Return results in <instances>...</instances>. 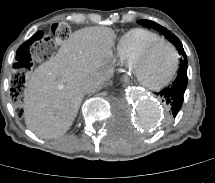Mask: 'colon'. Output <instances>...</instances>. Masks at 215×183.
Masks as SVG:
<instances>
[{
    "label": "colon",
    "instance_id": "5ec220e1",
    "mask_svg": "<svg viewBox=\"0 0 215 183\" xmlns=\"http://www.w3.org/2000/svg\"><path fill=\"white\" fill-rule=\"evenodd\" d=\"M69 35V24L58 22L52 25L51 35H47L42 29H37L33 32L32 38L23 43L22 49H15V59L7 62V70L13 87L10 98L13 102L20 103L24 100L25 76L34 62L50 59L55 52V40L64 41Z\"/></svg>",
    "mask_w": 215,
    "mask_h": 183
}]
</instances>
